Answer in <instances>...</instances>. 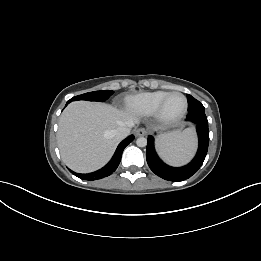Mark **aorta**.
Instances as JSON below:
<instances>
[{
    "mask_svg": "<svg viewBox=\"0 0 261 261\" xmlns=\"http://www.w3.org/2000/svg\"><path fill=\"white\" fill-rule=\"evenodd\" d=\"M136 144H137L138 147H145L147 145V139L144 138V137H139L136 140Z\"/></svg>",
    "mask_w": 261,
    "mask_h": 261,
    "instance_id": "aorta-1",
    "label": "aorta"
}]
</instances>
